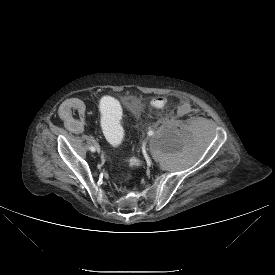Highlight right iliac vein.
I'll return each instance as SVG.
<instances>
[{
    "label": "right iliac vein",
    "instance_id": "63e3f726",
    "mask_svg": "<svg viewBox=\"0 0 275 275\" xmlns=\"http://www.w3.org/2000/svg\"><path fill=\"white\" fill-rule=\"evenodd\" d=\"M95 145H96L97 152H100V148H99L98 144H95Z\"/></svg>",
    "mask_w": 275,
    "mask_h": 275
}]
</instances>
